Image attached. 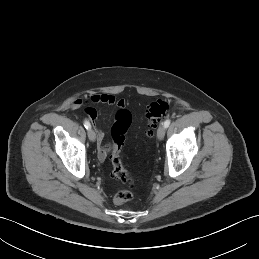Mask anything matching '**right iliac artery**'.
Segmentation results:
<instances>
[{"mask_svg": "<svg viewBox=\"0 0 259 259\" xmlns=\"http://www.w3.org/2000/svg\"><path fill=\"white\" fill-rule=\"evenodd\" d=\"M84 126H85L86 129L91 128V125H90L89 121H87V120L84 121Z\"/></svg>", "mask_w": 259, "mask_h": 259, "instance_id": "obj_1", "label": "right iliac artery"}]
</instances>
